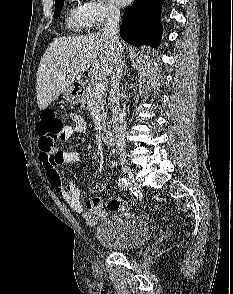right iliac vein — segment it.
I'll list each match as a JSON object with an SVG mask.
<instances>
[{
	"mask_svg": "<svg viewBox=\"0 0 233 294\" xmlns=\"http://www.w3.org/2000/svg\"><path fill=\"white\" fill-rule=\"evenodd\" d=\"M122 174L125 176V178L128 180L130 186L139 189V185L135 180L134 174L131 171V169L127 166H122Z\"/></svg>",
	"mask_w": 233,
	"mask_h": 294,
	"instance_id": "obj_1",
	"label": "right iliac vein"
}]
</instances>
